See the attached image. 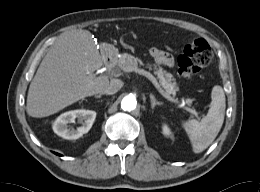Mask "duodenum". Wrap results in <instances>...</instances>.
<instances>
[{
	"mask_svg": "<svg viewBox=\"0 0 260 192\" xmlns=\"http://www.w3.org/2000/svg\"><path fill=\"white\" fill-rule=\"evenodd\" d=\"M116 58L114 56H106L105 63L107 66H112L115 63Z\"/></svg>",
	"mask_w": 260,
	"mask_h": 192,
	"instance_id": "410a0bca",
	"label": "duodenum"
}]
</instances>
